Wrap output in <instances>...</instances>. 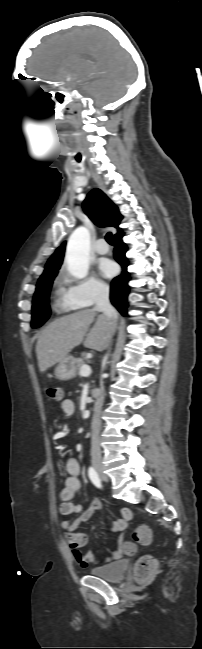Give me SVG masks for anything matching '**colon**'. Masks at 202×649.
Returning <instances> with one entry per match:
<instances>
[{
    "label": "colon",
    "instance_id": "1",
    "mask_svg": "<svg viewBox=\"0 0 202 649\" xmlns=\"http://www.w3.org/2000/svg\"><path fill=\"white\" fill-rule=\"evenodd\" d=\"M47 396L53 401L63 399V390L59 386H49L46 389ZM151 541V529L147 525H139L133 532L132 538L123 545V553L130 555L135 553L138 545H147ZM158 562L151 556L140 558L134 569V577L138 582L150 579L156 572Z\"/></svg>",
    "mask_w": 202,
    "mask_h": 649
}]
</instances>
